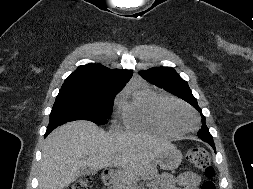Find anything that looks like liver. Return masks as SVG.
<instances>
[{"label": "liver", "instance_id": "liver-1", "mask_svg": "<svg viewBox=\"0 0 253 189\" xmlns=\"http://www.w3.org/2000/svg\"><path fill=\"white\" fill-rule=\"evenodd\" d=\"M174 146L158 137L132 131L105 132L89 121H73L55 129L42 149L39 189H63L82 166L100 170L115 166L127 175L126 189H137L150 162Z\"/></svg>", "mask_w": 253, "mask_h": 189}]
</instances>
